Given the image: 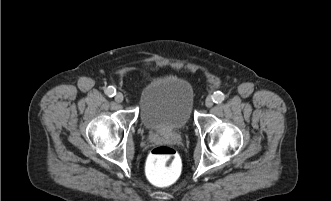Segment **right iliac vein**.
<instances>
[{"instance_id": "right-iliac-vein-1", "label": "right iliac vein", "mask_w": 331, "mask_h": 201, "mask_svg": "<svg viewBox=\"0 0 331 201\" xmlns=\"http://www.w3.org/2000/svg\"><path fill=\"white\" fill-rule=\"evenodd\" d=\"M124 100V95L121 92H118L115 96V101L121 103Z\"/></svg>"}]
</instances>
